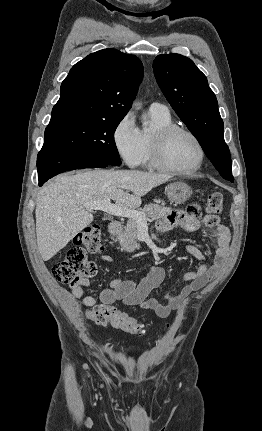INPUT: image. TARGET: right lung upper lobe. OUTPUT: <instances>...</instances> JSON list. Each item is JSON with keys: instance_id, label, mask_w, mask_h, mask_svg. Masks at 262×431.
I'll use <instances>...</instances> for the list:
<instances>
[{"instance_id": "1", "label": "right lung upper lobe", "mask_w": 262, "mask_h": 431, "mask_svg": "<svg viewBox=\"0 0 262 431\" xmlns=\"http://www.w3.org/2000/svg\"><path fill=\"white\" fill-rule=\"evenodd\" d=\"M142 77V62L134 55L109 48L86 56L62 82L49 125L124 118Z\"/></svg>"}]
</instances>
